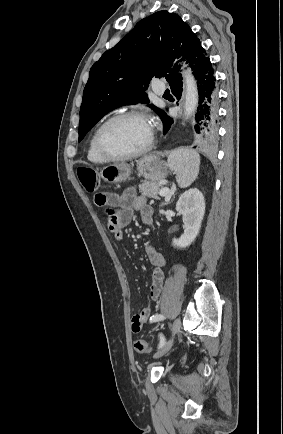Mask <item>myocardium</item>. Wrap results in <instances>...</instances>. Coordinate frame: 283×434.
Here are the masks:
<instances>
[{"mask_svg": "<svg viewBox=\"0 0 283 434\" xmlns=\"http://www.w3.org/2000/svg\"><path fill=\"white\" fill-rule=\"evenodd\" d=\"M130 118L143 119L150 124L149 117L146 113H144L142 111H138V110H132V111H126V112H122V113H118V114L113 115L112 117L105 120L95 131V133H94L95 148H96L97 152L103 158L107 159L108 161H120V160L133 159V158H136V157H139L141 155L146 154L147 152H149L152 149V147L154 145V141H155L154 131H153L152 127H151L150 138H149L147 144L135 152L126 153V154H115V153L110 152L104 146L103 141H102V136H103L104 131L113 123L124 120V119H130Z\"/></svg>", "mask_w": 283, "mask_h": 434, "instance_id": "myocardium-1", "label": "myocardium"}]
</instances>
